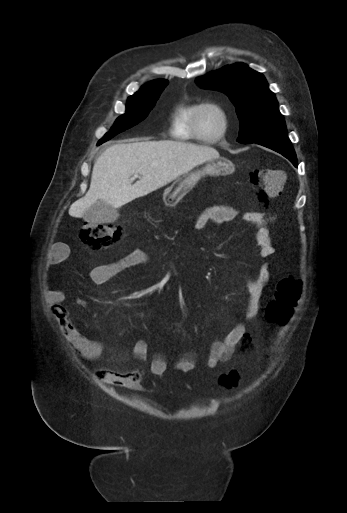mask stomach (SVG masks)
<instances>
[{"label":"stomach","mask_w":347,"mask_h":513,"mask_svg":"<svg viewBox=\"0 0 347 513\" xmlns=\"http://www.w3.org/2000/svg\"><path fill=\"white\" fill-rule=\"evenodd\" d=\"M233 168L234 164L226 158L211 160L200 170H194L178 176L173 184L165 189L163 201L167 206H174L203 176L227 175L232 172Z\"/></svg>","instance_id":"obj_1"}]
</instances>
